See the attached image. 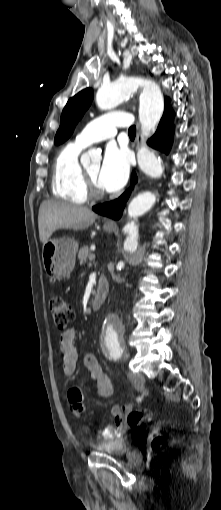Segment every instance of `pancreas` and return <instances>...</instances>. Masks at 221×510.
<instances>
[{"instance_id":"pancreas-1","label":"pancreas","mask_w":221,"mask_h":510,"mask_svg":"<svg viewBox=\"0 0 221 510\" xmlns=\"http://www.w3.org/2000/svg\"><path fill=\"white\" fill-rule=\"evenodd\" d=\"M91 252L89 250L88 246H83L79 252H78V259L80 261V264H83L87 261V259L90 257Z\"/></svg>"}]
</instances>
